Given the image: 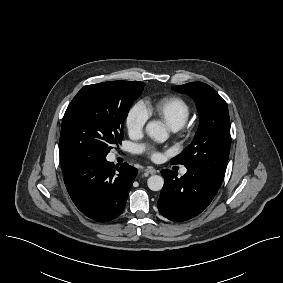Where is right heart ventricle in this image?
<instances>
[{
    "label": "right heart ventricle",
    "mask_w": 283,
    "mask_h": 283,
    "mask_svg": "<svg viewBox=\"0 0 283 283\" xmlns=\"http://www.w3.org/2000/svg\"><path fill=\"white\" fill-rule=\"evenodd\" d=\"M148 115L161 118L169 128H181L190 116V106L186 100L176 95H168L146 103Z\"/></svg>",
    "instance_id": "1"
}]
</instances>
